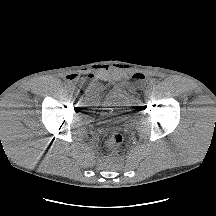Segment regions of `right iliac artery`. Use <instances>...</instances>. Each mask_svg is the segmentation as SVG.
I'll use <instances>...</instances> for the list:
<instances>
[{"label": "right iliac artery", "mask_w": 216, "mask_h": 216, "mask_svg": "<svg viewBox=\"0 0 216 216\" xmlns=\"http://www.w3.org/2000/svg\"><path fill=\"white\" fill-rule=\"evenodd\" d=\"M68 90H69V91H73V90H74V87H73V86H69V87H68Z\"/></svg>", "instance_id": "82829eb1"}]
</instances>
